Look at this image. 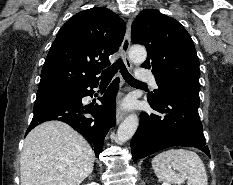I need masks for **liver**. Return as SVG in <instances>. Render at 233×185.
<instances>
[{"instance_id": "liver-1", "label": "liver", "mask_w": 233, "mask_h": 185, "mask_svg": "<svg viewBox=\"0 0 233 185\" xmlns=\"http://www.w3.org/2000/svg\"><path fill=\"white\" fill-rule=\"evenodd\" d=\"M89 143L61 121H48L26 136L20 157L21 185H80L93 171Z\"/></svg>"}]
</instances>
